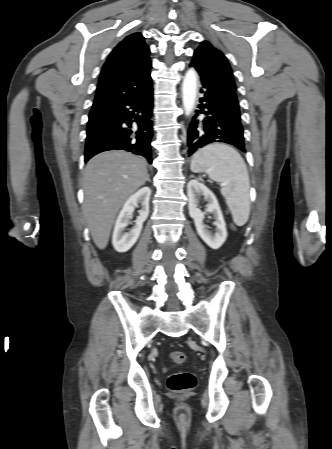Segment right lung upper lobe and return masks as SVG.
Returning <instances> with one entry per match:
<instances>
[{
	"label": "right lung upper lobe",
	"instance_id": "cb5924a9",
	"mask_svg": "<svg viewBox=\"0 0 332 449\" xmlns=\"http://www.w3.org/2000/svg\"><path fill=\"white\" fill-rule=\"evenodd\" d=\"M150 50L141 33L121 41L105 62L93 106L141 96L152 87Z\"/></svg>",
	"mask_w": 332,
	"mask_h": 449
}]
</instances>
